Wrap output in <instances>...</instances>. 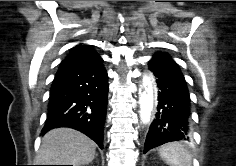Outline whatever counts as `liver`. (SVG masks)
<instances>
[{
	"label": "liver",
	"instance_id": "1",
	"mask_svg": "<svg viewBox=\"0 0 236 166\" xmlns=\"http://www.w3.org/2000/svg\"><path fill=\"white\" fill-rule=\"evenodd\" d=\"M96 144L84 134L70 129L57 128L42 138L37 163L41 165L89 164L95 157Z\"/></svg>",
	"mask_w": 236,
	"mask_h": 166
}]
</instances>
